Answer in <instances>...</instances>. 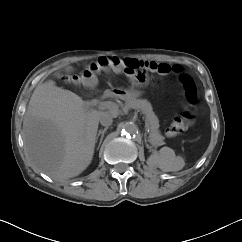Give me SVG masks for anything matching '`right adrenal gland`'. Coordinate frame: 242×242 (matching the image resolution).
Masks as SVG:
<instances>
[{"mask_svg": "<svg viewBox=\"0 0 242 242\" xmlns=\"http://www.w3.org/2000/svg\"><path fill=\"white\" fill-rule=\"evenodd\" d=\"M107 129H108V127H105L103 130H102V129L99 130V132H98V134H97V136H96V143H97V141H98L99 136H101V138H100V142H99V146H98V147H100V145H101V143H102V141H103L104 134H105V132L107 131Z\"/></svg>", "mask_w": 242, "mask_h": 242, "instance_id": "1", "label": "right adrenal gland"}]
</instances>
